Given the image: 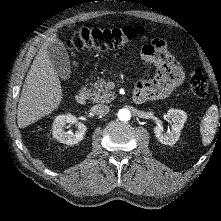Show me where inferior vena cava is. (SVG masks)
I'll list each match as a JSON object with an SVG mask.
<instances>
[{
  "instance_id": "inferior-vena-cava-1",
  "label": "inferior vena cava",
  "mask_w": 221,
  "mask_h": 221,
  "mask_svg": "<svg viewBox=\"0 0 221 221\" xmlns=\"http://www.w3.org/2000/svg\"><path fill=\"white\" fill-rule=\"evenodd\" d=\"M92 109H93V112L97 115H106L110 111L109 106L104 105V104L94 105Z\"/></svg>"
}]
</instances>
